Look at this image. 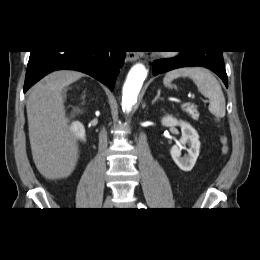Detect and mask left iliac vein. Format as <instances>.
Returning <instances> with one entry per match:
<instances>
[{"instance_id": "1", "label": "left iliac vein", "mask_w": 260, "mask_h": 260, "mask_svg": "<svg viewBox=\"0 0 260 260\" xmlns=\"http://www.w3.org/2000/svg\"><path fill=\"white\" fill-rule=\"evenodd\" d=\"M130 207H132V208H133V207H134V205L130 204Z\"/></svg>"}]
</instances>
